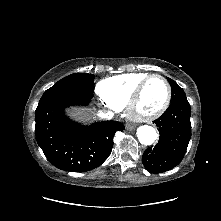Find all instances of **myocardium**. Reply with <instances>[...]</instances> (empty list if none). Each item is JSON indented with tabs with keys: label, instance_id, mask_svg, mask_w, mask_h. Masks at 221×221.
I'll list each match as a JSON object with an SVG mask.
<instances>
[{
	"label": "myocardium",
	"instance_id": "f54148a6",
	"mask_svg": "<svg viewBox=\"0 0 221 221\" xmlns=\"http://www.w3.org/2000/svg\"><path fill=\"white\" fill-rule=\"evenodd\" d=\"M153 78H158L165 84L166 97L159 108H157L156 110H154L150 113H142L138 110V105L140 103V99H141L144 88L146 87L148 82ZM171 96H172V89H171V86H170L168 80L165 77H163L162 75H159V74L148 75L136 87L135 91L133 92V94H132V96L126 106L127 114L131 120L136 121V122L150 121V120L160 116L168 108L170 101H171Z\"/></svg>",
	"mask_w": 221,
	"mask_h": 221
}]
</instances>
